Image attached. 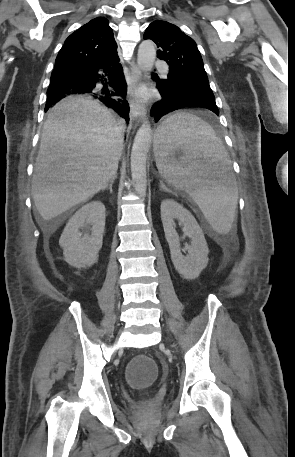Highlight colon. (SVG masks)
Instances as JSON below:
<instances>
[{"mask_svg":"<svg viewBox=\"0 0 295 457\" xmlns=\"http://www.w3.org/2000/svg\"><path fill=\"white\" fill-rule=\"evenodd\" d=\"M130 380V390H151L157 378V364L153 357H132L125 371Z\"/></svg>","mask_w":295,"mask_h":457,"instance_id":"1","label":"colon"}]
</instances>
